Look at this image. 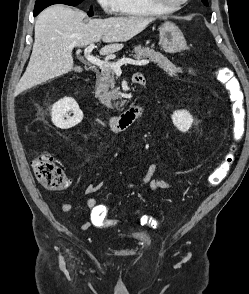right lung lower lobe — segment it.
I'll use <instances>...</instances> for the list:
<instances>
[{"label":"right lung lower lobe","instance_id":"1","mask_svg":"<svg viewBox=\"0 0 249 294\" xmlns=\"http://www.w3.org/2000/svg\"><path fill=\"white\" fill-rule=\"evenodd\" d=\"M42 10L38 9V10H34V16L38 15Z\"/></svg>","mask_w":249,"mask_h":294}]
</instances>
